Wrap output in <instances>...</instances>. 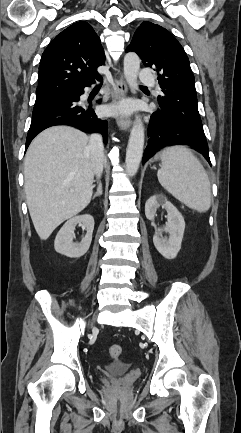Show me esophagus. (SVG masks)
Listing matches in <instances>:
<instances>
[{
	"mask_svg": "<svg viewBox=\"0 0 241 433\" xmlns=\"http://www.w3.org/2000/svg\"><path fill=\"white\" fill-rule=\"evenodd\" d=\"M115 81H116V91H117V95L115 96V99L124 98L128 93L127 85L124 80V77L122 75H119V77ZM117 125L120 128V130L128 131L131 127V119L129 117L120 115L117 118Z\"/></svg>",
	"mask_w": 241,
	"mask_h": 433,
	"instance_id": "1",
	"label": "esophagus"
}]
</instances>
